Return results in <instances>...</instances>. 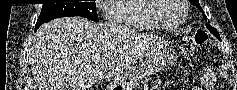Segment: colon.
<instances>
[{"label": "colon", "mask_w": 237, "mask_h": 90, "mask_svg": "<svg viewBox=\"0 0 237 90\" xmlns=\"http://www.w3.org/2000/svg\"><path fill=\"white\" fill-rule=\"evenodd\" d=\"M209 37L204 31H197L194 34L185 37L182 40V49L185 53L193 52L197 47L206 45Z\"/></svg>", "instance_id": "5ec220e1"}]
</instances>
